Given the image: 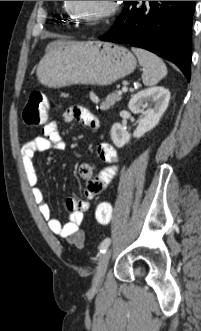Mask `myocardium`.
Wrapping results in <instances>:
<instances>
[{
	"label": "myocardium",
	"mask_w": 201,
	"mask_h": 331,
	"mask_svg": "<svg viewBox=\"0 0 201 331\" xmlns=\"http://www.w3.org/2000/svg\"><path fill=\"white\" fill-rule=\"evenodd\" d=\"M66 5H67V9L68 11H70L72 9V11L74 12V17L85 21L86 23H101L106 21L107 19H109L110 17H112L118 10V3L117 1H108L107 2V7L106 9L95 15L94 17H84L78 13H76L74 11L73 5H72V1H66Z\"/></svg>",
	"instance_id": "obj_1"
}]
</instances>
